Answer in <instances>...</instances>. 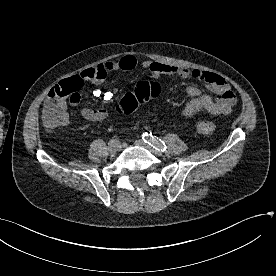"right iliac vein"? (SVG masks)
<instances>
[{"label": "right iliac vein", "mask_w": 276, "mask_h": 276, "mask_svg": "<svg viewBox=\"0 0 276 276\" xmlns=\"http://www.w3.org/2000/svg\"><path fill=\"white\" fill-rule=\"evenodd\" d=\"M121 149V145H109L110 154L114 155Z\"/></svg>", "instance_id": "1"}]
</instances>
